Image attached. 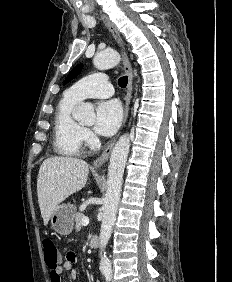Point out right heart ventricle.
<instances>
[{
	"mask_svg": "<svg viewBox=\"0 0 232 282\" xmlns=\"http://www.w3.org/2000/svg\"><path fill=\"white\" fill-rule=\"evenodd\" d=\"M79 100L65 93L59 100L53 119V148L58 155H79L83 145V128L73 118Z\"/></svg>",
	"mask_w": 232,
	"mask_h": 282,
	"instance_id": "1",
	"label": "right heart ventricle"
}]
</instances>
